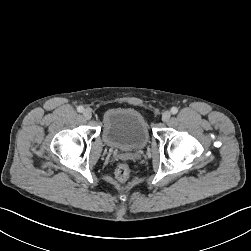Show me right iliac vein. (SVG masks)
<instances>
[{
    "mask_svg": "<svg viewBox=\"0 0 251 251\" xmlns=\"http://www.w3.org/2000/svg\"><path fill=\"white\" fill-rule=\"evenodd\" d=\"M83 116L85 119L89 120L92 117V111L91 109L87 108L83 111Z\"/></svg>",
    "mask_w": 251,
    "mask_h": 251,
    "instance_id": "63e3f726",
    "label": "right iliac vein"
}]
</instances>
